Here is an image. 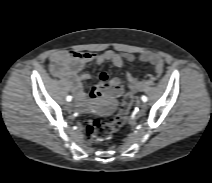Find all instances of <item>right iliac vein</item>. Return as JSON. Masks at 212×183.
Wrapping results in <instances>:
<instances>
[{
	"mask_svg": "<svg viewBox=\"0 0 212 183\" xmlns=\"http://www.w3.org/2000/svg\"><path fill=\"white\" fill-rule=\"evenodd\" d=\"M65 108H66L68 111H71L72 108H73V104H72L71 102H67V103L65 104Z\"/></svg>",
	"mask_w": 212,
	"mask_h": 183,
	"instance_id": "right-iliac-vein-1",
	"label": "right iliac vein"
}]
</instances>
